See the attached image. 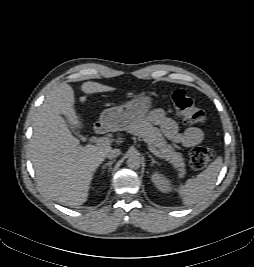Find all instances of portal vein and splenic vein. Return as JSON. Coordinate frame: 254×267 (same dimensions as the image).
Returning a JSON list of instances; mask_svg holds the SVG:
<instances>
[{
  "label": "portal vein and splenic vein",
  "mask_w": 254,
  "mask_h": 267,
  "mask_svg": "<svg viewBox=\"0 0 254 267\" xmlns=\"http://www.w3.org/2000/svg\"><path fill=\"white\" fill-rule=\"evenodd\" d=\"M96 143H97L98 145L107 146V145H110L111 140H109V138H107V137H100V138H98V139L96 140ZM148 150H149L152 154H154L155 156H157V157H162V156H161V153H160L156 148H154V147H152V146H148Z\"/></svg>",
  "instance_id": "18ae733b"
}]
</instances>
